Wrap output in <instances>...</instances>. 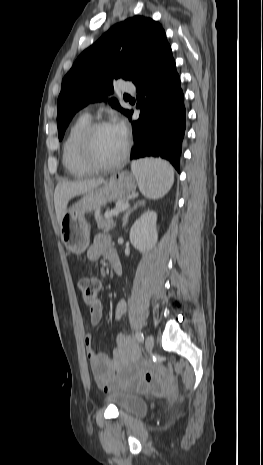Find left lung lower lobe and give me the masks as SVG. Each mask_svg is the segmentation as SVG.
Segmentation results:
<instances>
[{
	"label": "left lung lower lobe",
	"instance_id": "0a47b994",
	"mask_svg": "<svg viewBox=\"0 0 263 465\" xmlns=\"http://www.w3.org/2000/svg\"><path fill=\"white\" fill-rule=\"evenodd\" d=\"M132 82L137 89L136 107L141 113L132 122L135 145L131 159L160 156L179 171L186 110L170 45H163ZM132 113L126 112L130 120Z\"/></svg>",
	"mask_w": 263,
	"mask_h": 465
}]
</instances>
